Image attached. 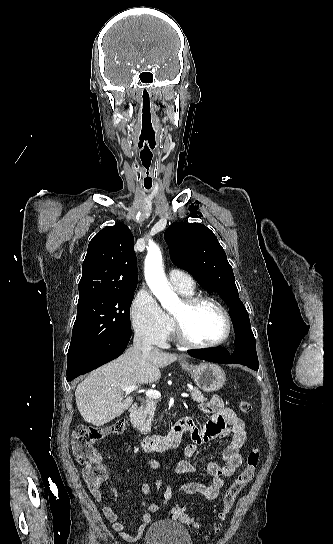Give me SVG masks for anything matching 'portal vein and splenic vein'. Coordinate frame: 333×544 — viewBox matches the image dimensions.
<instances>
[{
	"label": "portal vein and splenic vein",
	"mask_w": 333,
	"mask_h": 544,
	"mask_svg": "<svg viewBox=\"0 0 333 544\" xmlns=\"http://www.w3.org/2000/svg\"><path fill=\"white\" fill-rule=\"evenodd\" d=\"M137 388H138L137 386L133 385V386L124 387L122 390L124 392H126V394H129V393L135 391ZM145 394L149 398H153V399H158V398L161 397V393L159 391H157V390H146ZM181 396L184 397V398H188L189 394L188 393H182Z\"/></svg>",
	"instance_id": "portal-vein-and-splenic-vein-1"
}]
</instances>
